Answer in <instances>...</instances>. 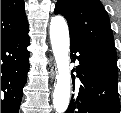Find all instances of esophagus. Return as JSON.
<instances>
[{"label":"esophagus","instance_id":"esophagus-1","mask_svg":"<svg viewBox=\"0 0 121 113\" xmlns=\"http://www.w3.org/2000/svg\"><path fill=\"white\" fill-rule=\"evenodd\" d=\"M55 70L52 68L50 71L51 76L53 77Z\"/></svg>","mask_w":121,"mask_h":113}]
</instances>
